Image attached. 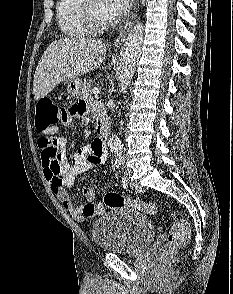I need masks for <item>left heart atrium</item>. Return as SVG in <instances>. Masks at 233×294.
<instances>
[{
	"mask_svg": "<svg viewBox=\"0 0 233 294\" xmlns=\"http://www.w3.org/2000/svg\"><path fill=\"white\" fill-rule=\"evenodd\" d=\"M133 0H104V11L109 19L123 15L130 8Z\"/></svg>",
	"mask_w": 233,
	"mask_h": 294,
	"instance_id": "39dd6f15",
	"label": "left heart atrium"
}]
</instances>
